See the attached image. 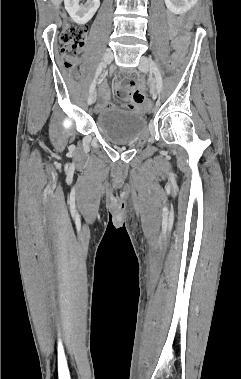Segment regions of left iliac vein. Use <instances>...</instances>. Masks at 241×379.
Here are the masks:
<instances>
[{"label":"left iliac vein","mask_w":241,"mask_h":379,"mask_svg":"<svg viewBox=\"0 0 241 379\" xmlns=\"http://www.w3.org/2000/svg\"><path fill=\"white\" fill-rule=\"evenodd\" d=\"M150 64H151V61L149 58H147L146 56H142L140 58V63H139V70H141L142 72H148L149 71V68H150ZM152 98L153 99H156L157 98V92L154 91L152 93Z\"/></svg>","instance_id":"obj_1"}]
</instances>
